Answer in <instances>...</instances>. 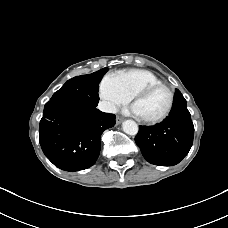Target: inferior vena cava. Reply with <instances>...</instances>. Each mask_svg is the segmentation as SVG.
<instances>
[{"label":"inferior vena cava","instance_id":"1","mask_svg":"<svg viewBox=\"0 0 228 228\" xmlns=\"http://www.w3.org/2000/svg\"><path fill=\"white\" fill-rule=\"evenodd\" d=\"M98 109L107 113H117V108L113 103L107 101L99 102Z\"/></svg>","mask_w":228,"mask_h":228}]
</instances>
